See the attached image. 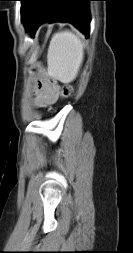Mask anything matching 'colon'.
I'll return each mask as SVG.
<instances>
[{"mask_svg":"<svg viewBox=\"0 0 133 253\" xmlns=\"http://www.w3.org/2000/svg\"><path fill=\"white\" fill-rule=\"evenodd\" d=\"M72 91H73L72 86L67 85V86H65V87L63 88L62 96H63V97H68V96L71 95Z\"/></svg>","mask_w":133,"mask_h":253,"instance_id":"colon-1","label":"colon"}]
</instances>
